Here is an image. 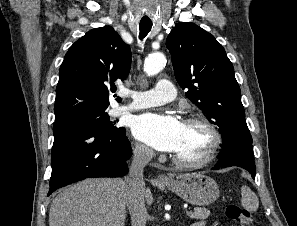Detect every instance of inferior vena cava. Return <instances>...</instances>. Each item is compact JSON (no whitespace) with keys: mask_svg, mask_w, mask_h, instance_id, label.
<instances>
[{"mask_svg":"<svg viewBox=\"0 0 297 226\" xmlns=\"http://www.w3.org/2000/svg\"><path fill=\"white\" fill-rule=\"evenodd\" d=\"M154 156L152 149L137 145L133 151V161L125 177V199L131 216V226H146L148 212L145 206L144 167Z\"/></svg>","mask_w":297,"mask_h":226,"instance_id":"1","label":"inferior vena cava"}]
</instances>
